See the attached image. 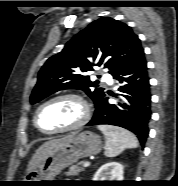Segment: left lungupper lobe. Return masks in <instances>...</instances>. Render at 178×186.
Here are the masks:
<instances>
[{
	"label": "left lung upper lobe",
	"instance_id": "left-lung-upper-lobe-1",
	"mask_svg": "<svg viewBox=\"0 0 178 186\" xmlns=\"http://www.w3.org/2000/svg\"><path fill=\"white\" fill-rule=\"evenodd\" d=\"M143 56L141 42L129 26L109 17L100 18L45 62L30 102L35 104L59 90L81 89L93 99L97 108L107 91L84 73L92 71L96 65L108 68L115 76Z\"/></svg>",
	"mask_w": 178,
	"mask_h": 186
}]
</instances>
